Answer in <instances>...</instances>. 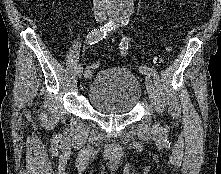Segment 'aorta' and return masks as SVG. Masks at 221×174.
I'll use <instances>...</instances> for the list:
<instances>
[{"label":"aorta","instance_id":"1","mask_svg":"<svg viewBox=\"0 0 221 174\" xmlns=\"http://www.w3.org/2000/svg\"><path fill=\"white\" fill-rule=\"evenodd\" d=\"M108 15L118 22L129 21L134 6V0H106Z\"/></svg>","mask_w":221,"mask_h":174}]
</instances>
